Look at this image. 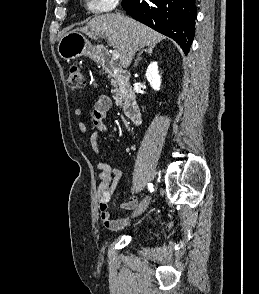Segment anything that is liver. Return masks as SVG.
<instances>
[{
  "label": "liver",
  "mask_w": 259,
  "mask_h": 294,
  "mask_svg": "<svg viewBox=\"0 0 259 294\" xmlns=\"http://www.w3.org/2000/svg\"><path fill=\"white\" fill-rule=\"evenodd\" d=\"M78 30L93 39L106 37L119 52L123 68L129 67L136 51L155 46L165 38L150 27L119 13L96 16Z\"/></svg>",
  "instance_id": "6515ba94"
}]
</instances>
